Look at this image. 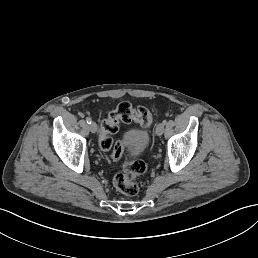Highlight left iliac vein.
<instances>
[{
	"label": "left iliac vein",
	"instance_id": "1",
	"mask_svg": "<svg viewBox=\"0 0 258 258\" xmlns=\"http://www.w3.org/2000/svg\"><path fill=\"white\" fill-rule=\"evenodd\" d=\"M156 129H157L158 133H163L164 129H165V124L164 123H159Z\"/></svg>",
	"mask_w": 258,
	"mask_h": 258
}]
</instances>
